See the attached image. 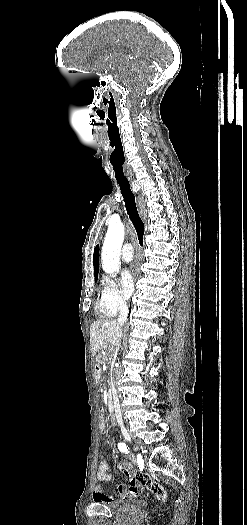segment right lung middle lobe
Returning a JSON list of instances; mask_svg holds the SVG:
<instances>
[{
	"label": "right lung middle lobe",
	"instance_id": "obj_1",
	"mask_svg": "<svg viewBox=\"0 0 247 525\" xmlns=\"http://www.w3.org/2000/svg\"><path fill=\"white\" fill-rule=\"evenodd\" d=\"M97 280V276H95V281Z\"/></svg>",
	"mask_w": 247,
	"mask_h": 525
}]
</instances>
